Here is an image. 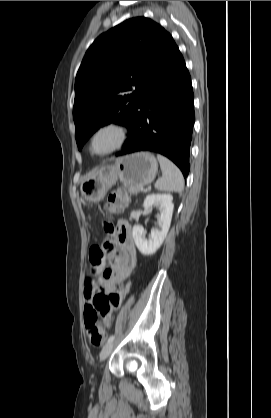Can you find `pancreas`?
<instances>
[{
	"label": "pancreas",
	"mask_w": 271,
	"mask_h": 418,
	"mask_svg": "<svg viewBox=\"0 0 271 418\" xmlns=\"http://www.w3.org/2000/svg\"><path fill=\"white\" fill-rule=\"evenodd\" d=\"M124 186L127 188L128 192L131 194H137L140 191H144L142 190V187L139 185H134L131 183H125Z\"/></svg>",
	"instance_id": "cf45deb5"
}]
</instances>
